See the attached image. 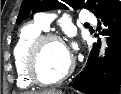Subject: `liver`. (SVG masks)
I'll return each mask as SVG.
<instances>
[{
    "label": "liver",
    "mask_w": 121,
    "mask_h": 94,
    "mask_svg": "<svg viewBox=\"0 0 121 94\" xmlns=\"http://www.w3.org/2000/svg\"><path fill=\"white\" fill-rule=\"evenodd\" d=\"M35 94H62V92L56 91V90H47V91H42V92H38V93H35Z\"/></svg>",
    "instance_id": "6515ba94"
}]
</instances>
